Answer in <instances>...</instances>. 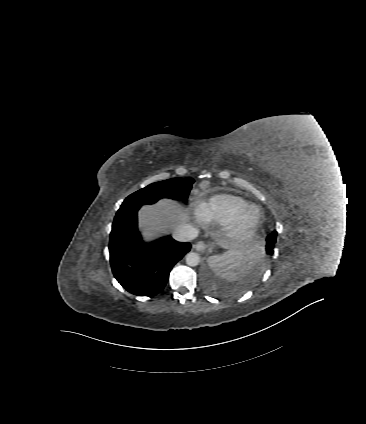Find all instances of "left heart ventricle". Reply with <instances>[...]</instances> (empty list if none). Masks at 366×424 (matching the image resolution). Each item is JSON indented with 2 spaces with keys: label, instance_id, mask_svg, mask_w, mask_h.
<instances>
[{
  "label": "left heart ventricle",
  "instance_id": "left-heart-ventricle-1",
  "mask_svg": "<svg viewBox=\"0 0 366 424\" xmlns=\"http://www.w3.org/2000/svg\"><path fill=\"white\" fill-rule=\"evenodd\" d=\"M255 212L254 211H250L247 216H246V221L247 222H251L254 218Z\"/></svg>",
  "mask_w": 366,
  "mask_h": 424
}]
</instances>
